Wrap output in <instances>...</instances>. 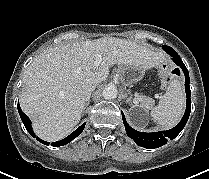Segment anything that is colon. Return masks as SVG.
I'll return each instance as SVG.
<instances>
[{
	"label": "colon",
	"mask_w": 209,
	"mask_h": 179,
	"mask_svg": "<svg viewBox=\"0 0 209 179\" xmlns=\"http://www.w3.org/2000/svg\"><path fill=\"white\" fill-rule=\"evenodd\" d=\"M179 75H180V70H178V69H172L166 75V82L172 81L173 79H175Z\"/></svg>",
	"instance_id": "5ec220e1"
}]
</instances>
